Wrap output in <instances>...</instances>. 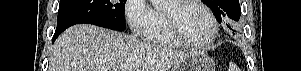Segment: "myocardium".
Instances as JSON below:
<instances>
[{
	"instance_id": "myocardium-1",
	"label": "myocardium",
	"mask_w": 301,
	"mask_h": 71,
	"mask_svg": "<svg viewBox=\"0 0 301 71\" xmlns=\"http://www.w3.org/2000/svg\"><path fill=\"white\" fill-rule=\"evenodd\" d=\"M168 3L170 5V7L169 8L164 7L162 9V12L164 14L166 24L168 26L170 33L178 42H180L182 45L193 47V48H206L215 41L217 34H218V23H217V20H216L214 14L212 13V11L202 1H199V0H169ZM189 4H194V5L201 7L211 21L212 33H211L210 37L204 42H194V41L189 40L185 36L180 23L177 21V19L175 17L174 11H176L186 5H189Z\"/></svg>"
}]
</instances>
